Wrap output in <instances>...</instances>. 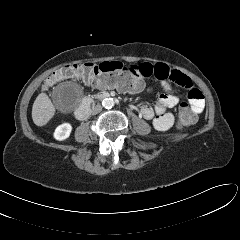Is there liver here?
<instances>
[{
  "label": "liver",
  "mask_w": 240,
  "mask_h": 240,
  "mask_svg": "<svg viewBox=\"0 0 240 240\" xmlns=\"http://www.w3.org/2000/svg\"><path fill=\"white\" fill-rule=\"evenodd\" d=\"M55 114V107L46 93H40L32 107V119L35 125H46Z\"/></svg>",
  "instance_id": "6515ba94"
}]
</instances>
